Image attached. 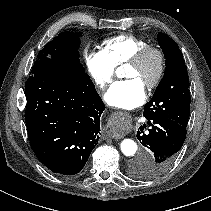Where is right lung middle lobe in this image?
Segmentation results:
<instances>
[{
  "label": "right lung middle lobe",
  "instance_id": "1",
  "mask_svg": "<svg viewBox=\"0 0 211 211\" xmlns=\"http://www.w3.org/2000/svg\"><path fill=\"white\" fill-rule=\"evenodd\" d=\"M80 39L76 33L62 32L40 51V54H58L60 57L73 64L77 69L84 71L79 60ZM85 72V71H84Z\"/></svg>",
  "mask_w": 211,
  "mask_h": 211
}]
</instances>
